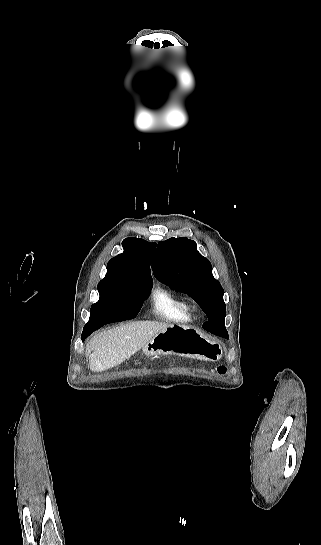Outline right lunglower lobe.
I'll return each mask as SVG.
<instances>
[{
  "label": "right lung lower lobe",
  "mask_w": 321,
  "mask_h": 545,
  "mask_svg": "<svg viewBox=\"0 0 321 545\" xmlns=\"http://www.w3.org/2000/svg\"><path fill=\"white\" fill-rule=\"evenodd\" d=\"M143 304L139 296L122 295L107 301L96 310L93 322H88L82 332V341L103 325L135 318Z\"/></svg>",
  "instance_id": "obj_1"
}]
</instances>
